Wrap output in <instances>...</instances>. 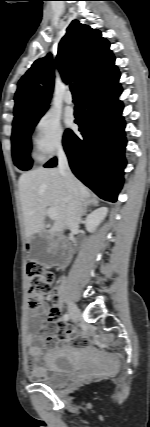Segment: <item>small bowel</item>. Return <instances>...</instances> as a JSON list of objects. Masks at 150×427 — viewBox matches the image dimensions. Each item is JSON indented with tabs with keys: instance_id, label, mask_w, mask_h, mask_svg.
<instances>
[{
	"instance_id": "1",
	"label": "small bowel",
	"mask_w": 150,
	"mask_h": 427,
	"mask_svg": "<svg viewBox=\"0 0 150 427\" xmlns=\"http://www.w3.org/2000/svg\"><path fill=\"white\" fill-rule=\"evenodd\" d=\"M59 294L53 297L54 302L51 304V309L46 305H39L37 312L30 316L29 329L26 338L28 347L27 369L30 377L44 378L47 376V371L38 366V359L42 352V347L45 345H71L73 347L82 348L88 345L89 339L85 336L75 334L72 330L63 327L58 319L61 315L60 304L58 303ZM48 315V321L55 323L47 337L39 334L37 330L44 322V316Z\"/></svg>"
}]
</instances>
